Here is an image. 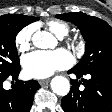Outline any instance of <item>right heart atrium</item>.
<instances>
[{
	"label": "right heart atrium",
	"instance_id": "d8ad5b80",
	"mask_svg": "<svg viewBox=\"0 0 112 112\" xmlns=\"http://www.w3.org/2000/svg\"><path fill=\"white\" fill-rule=\"evenodd\" d=\"M34 27L32 25L22 28L15 37V46L21 53L26 52L31 47Z\"/></svg>",
	"mask_w": 112,
	"mask_h": 112
}]
</instances>
